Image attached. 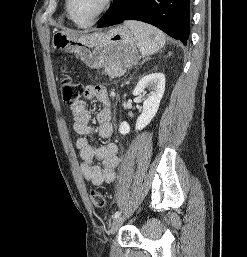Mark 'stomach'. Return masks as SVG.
<instances>
[{"instance_id": "obj_1", "label": "stomach", "mask_w": 247, "mask_h": 257, "mask_svg": "<svg viewBox=\"0 0 247 257\" xmlns=\"http://www.w3.org/2000/svg\"><path fill=\"white\" fill-rule=\"evenodd\" d=\"M52 46L58 52L78 54L88 67L94 69L109 63H119L126 68L139 58L133 33L123 25L92 34L56 32Z\"/></svg>"}]
</instances>
